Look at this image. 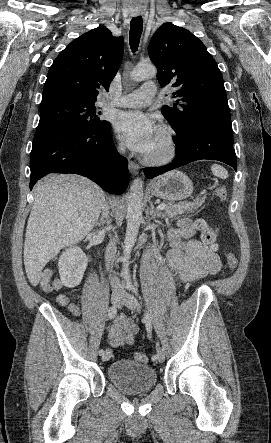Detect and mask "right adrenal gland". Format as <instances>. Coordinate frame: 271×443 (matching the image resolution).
<instances>
[{
    "label": "right adrenal gland",
    "mask_w": 271,
    "mask_h": 443,
    "mask_svg": "<svg viewBox=\"0 0 271 443\" xmlns=\"http://www.w3.org/2000/svg\"><path fill=\"white\" fill-rule=\"evenodd\" d=\"M104 223H107V220H104V218H100L99 222L94 223V227H96V225H104Z\"/></svg>",
    "instance_id": "2a0ac1e0"
}]
</instances>
